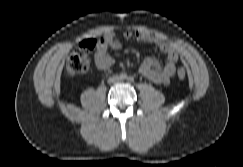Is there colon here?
Returning a JSON list of instances; mask_svg holds the SVG:
<instances>
[{"instance_id":"colon-1","label":"colon","mask_w":243,"mask_h":167,"mask_svg":"<svg viewBox=\"0 0 243 167\" xmlns=\"http://www.w3.org/2000/svg\"><path fill=\"white\" fill-rule=\"evenodd\" d=\"M99 41L96 38L83 40L78 47L71 53L66 63V70L69 75L76 76L86 73L91 65L92 53L98 47ZM177 77L183 80L186 72L179 69Z\"/></svg>"}]
</instances>
